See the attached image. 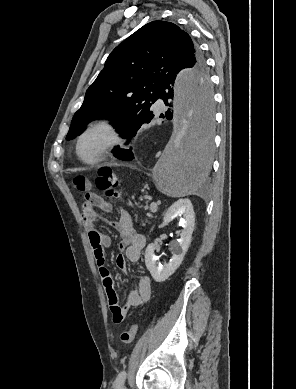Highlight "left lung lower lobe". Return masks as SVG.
Instances as JSON below:
<instances>
[{
    "instance_id": "obj_1",
    "label": "left lung lower lobe",
    "mask_w": 296,
    "mask_h": 389,
    "mask_svg": "<svg viewBox=\"0 0 296 389\" xmlns=\"http://www.w3.org/2000/svg\"><path fill=\"white\" fill-rule=\"evenodd\" d=\"M201 79V80H200ZM192 92L199 107V122L196 131H191L184 143V154L189 163L192 178L201 179L205 176L210 166L212 141L208 129L212 123L213 98L211 88L204 82V78H192ZM158 98L163 99L165 105L170 108L165 112L163 118L168 120L176 119L177 99L174 89V80L162 84ZM130 139V138H129ZM113 155L120 160H132L134 155L132 148L121 149L119 146L112 151Z\"/></svg>"
}]
</instances>
